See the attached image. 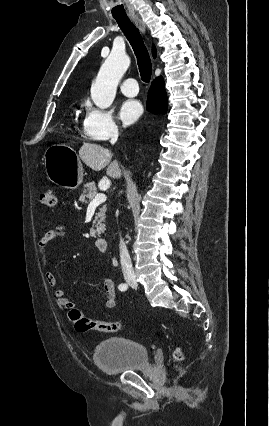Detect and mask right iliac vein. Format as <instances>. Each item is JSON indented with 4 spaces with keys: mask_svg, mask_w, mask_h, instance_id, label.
<instances>
[{
    "mask_svg": "<svg viewBox=\"0 0 269 426\" xmlns=\"http://www.w3.org/2000/svg\"><path fill=\"white\" fill-rule=\"evenodd\" d=\"M127 282H128V284H130L131 286H136V280L134 279V278H131V277H129V278H127Z\"/></svg>",
    "mask_w": 269,
    "mask_h": 426,
    "instance_id": "63e3f726",
    "label": "right iliac vein"
}]
</instances>
